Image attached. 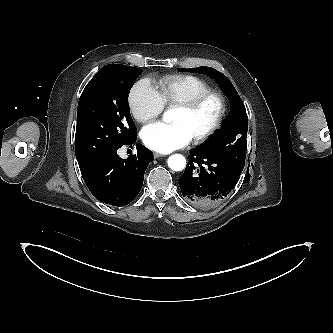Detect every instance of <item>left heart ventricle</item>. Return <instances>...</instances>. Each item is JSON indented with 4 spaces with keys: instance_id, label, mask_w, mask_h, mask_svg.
I'll return each mask as SVG.
<instances>
[{
    "instance_id": "1",
    "label": "left heart ventricle",
    "mask_w": 333,
    "mask_h": 333,
    "mask_svg": "<svg viewBox=\"0 0 333 333\" xmlns=\"http://www.w3.org/2000/svg\"><path fill=\"white\" fill-rule=\"evenodd\" d=\"M219 111V102L216 99H210L192 113L177 108L173 116V122L183 124L193 138L204 133L214 124Z\"/></svg>"
}]
</instances>
